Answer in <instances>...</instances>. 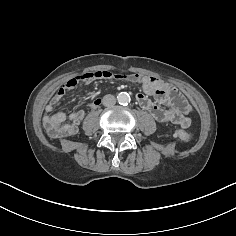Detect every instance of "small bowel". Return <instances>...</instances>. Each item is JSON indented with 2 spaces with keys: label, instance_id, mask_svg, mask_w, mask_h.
I'll use <instances>...</instances> for the list:
<instances>
[{
  "label": "small bowel",
  "instance_id": "obj_1",
  "mask_svg": "<svg viewBox=\"0 0 236 236\" xmlns=\"http://www.w3.org/2000/svg\"><path fill=\"white\" fill-rule=\"evenodd\" d=\"M97 73L98 72H88L70 78L65 81L53 95L52 99L45 107L46 113L43 116L44 128L51 138L57 139L72 136L77 133L78 127L85 116L83 110L73 111L69 115L62 112L53 114L52 112L55 106L64 100L67 92L74 90L80 83H89L98 78H115L117 80L140 83L143 92L137 94L136 100L142 109L148 111L158 122L173 123L182 128L190 126L191 120L188 115L193 110L191 104L181 93L162 79L153 76H142L140 74H132L133 79H128L126 75L122 74L112 75L110 78H103L97 76ZM148 96H154L158 103L167 105V107L159 106L156 102L149 99ZM100 103V99H94L89 102V106L91 108H97Z\"/></svg>",
  "mask_w": 236,
  "mask_h": 236
}]
</instances>
